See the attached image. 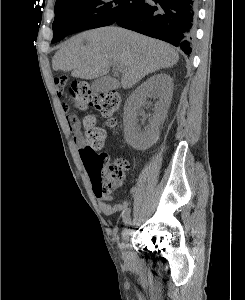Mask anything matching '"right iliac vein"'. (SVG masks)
Listing matches in <instances>:
<instances>
[{
  "mask_svg": "<svg viewBox=\"0 0 245 300\" xmlns=\"http://www.w3.org/2000/svg\"><path fill=\"white\" fill-rule=\"evenodd\" d=\"M126 226H131L132 221L131 218L129 217L126 222H125ZM130 229L125 228L122 232V243H121V249H122V255L127 258L129 256V252H128V240H129V236H130Z\"/></svg>",
  "mask_w": 245,
  "mask_h": 300,
  "instance_id": "right-iliac-vein-1",
  "label": "right iliac vein"
}]
</instances>
